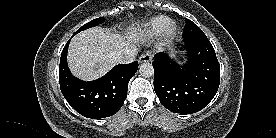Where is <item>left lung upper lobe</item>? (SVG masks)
I'll return each mask as SVG.
<instances>
[{"instance_id":"5c2ea615","label":"left lung upper lobe","mask_w":276,"mask_h":138,"mask_svg":"<svg viewBox=\"0 0 276 138\" xmlns=\"http://www.w3.org/2000/svg\"><path fill=\"white\" fill-rule=\"evenodd\" d=\"M196 34H203V31L195 25L191 20L186 19V25L184 28V37Z\"/></svg>"}]
</instances>
